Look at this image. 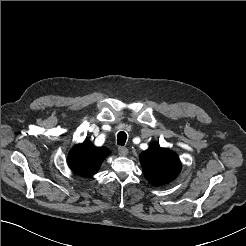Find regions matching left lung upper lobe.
<instances>
[{
    "instance_id": "left-lung-upper-lobe-1",
    "label": "left lung upper lobe",
    "mask_w": 246,
    "mask_h": 246,
    "mask_svg": "<svg viewBox=\"0 0 246 246\" xmlns=\"http://www.w3.org/2000/svg\"><path fill=\"white\" fill-rule=\"evenodd\" d=\"M143 174L154 186H161L173 181L181 170L179 157L167 148L151 144L139 156Z\"/></svg>"
}]
</instances>
